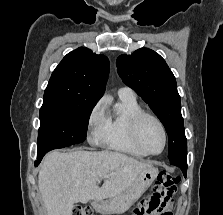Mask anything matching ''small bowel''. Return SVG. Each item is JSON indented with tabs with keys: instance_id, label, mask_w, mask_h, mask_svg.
<instances>
[{
	"instance_id": "1",
	"label": "small bowel",
	"mask_w": 223,
	"mask_h": 215,
	"mask_svg": "<svg viewBox=\"0 0 223 215\" xmlns=\"http://www.w3.org/2000/svg\"><path fill=\"white\" fill-rule=\"evenodd\" d=\"M172 194L173 193H168L166 190L159 189L152 195L150 200L152 203L155 204H163L166 207L165 215H172L171 212ZM145 215H153V214H145Z\"/></svg>"
}]
</instances>
